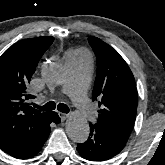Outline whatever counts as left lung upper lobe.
<instances>
[{
    "mask_svg": "<svg viewBox=\"0 0 165 165\" xmlns=\"http://www.w3.org/2000/svg\"><path fill=\"white\" fill-rule=\"evenodd\" d=\"M88 41L96 55L97 75L92 100L100 110L95 126L128 139L137 110L134 76L120 54L96 37Z\"/></svg>",
    "mask_w": 165,
    "mask_h": 165,
    "instance_id": "5c2ea615",
    "label": "left lung upper lobe"
}]
</instances>
